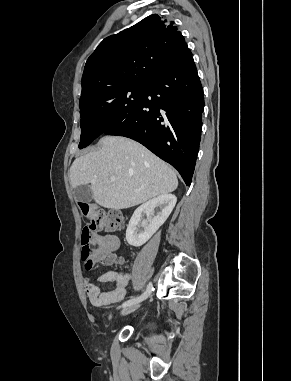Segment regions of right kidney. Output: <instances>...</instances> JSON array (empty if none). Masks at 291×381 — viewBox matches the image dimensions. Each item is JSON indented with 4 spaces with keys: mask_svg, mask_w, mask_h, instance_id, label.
<instances>
[{
    "mask_svg": "<svg viewBox=\"0 0 291 381\" xmlns=\"http://www.w3.org/2000/svg\"><path fill=\"white\" fill-rule=\"evenodd\" d=\"M176 202L177 198L175 195L163 194L139 206L129 221L126 230L127 242L135 247L142 246L146 243L167 220ZM155 208H158L159 211L154 216ZM142 214L147 215L146 220L141 221ZM140 227L143 228V230H140Z\"/></svg>",
    "mask_w": 291,
    "mask_h": 381,
    "instance_id": "1",
    "label": "right kidney"
}]
</instances>
